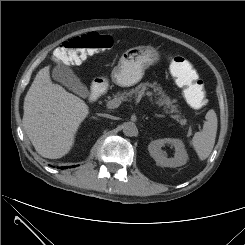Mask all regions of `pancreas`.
I'll return each mask as SVG.
<instances>
[{
  "label": "pancreas",
  "instance_id": "obj_1",
  "mask_svg": "<svg viewBox=\"0 0 245 245\" xmlns=\"http://www.w3.org/2000/svg\"><path fill=\"white\" fill-rule=\"evenodd\" d=\"M149 88L152 89V93L155 95L156 98V103L159 106H162L164 110L168 113H177L175 117L177 119H180V111L178 110L177 106L174 105V101H172L163 91L162 87L159 86L156 82L153 83H140L138 86L135 88H132L128 91H124L122 93H117L114 97L115 98H120L122 101H130L134 98L141 97L146 90ZM181 123H184L185 120L180 119Z\"/></svg>",
  "mask_w": 245,
  "mask_h": 245
}]
</instances>
